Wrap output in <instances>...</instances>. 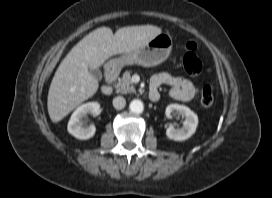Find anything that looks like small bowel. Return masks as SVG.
I'll return each instance as SVG.
<instances>
[{"instance_id": "c3829d8e", "label": "small bowel", "mask_w": 272, "mask_h": 198, "mask_svg": "<svg viewBox=\"0 0 272 198\" xmlns=\"http://www.w3.org/2000/svg\"><path fill=\"white\" fill-rule=\"evenodd\" d=\"M161 84L170 86L169 95L180 101H189L198 92L195 84L186 77H176L168 73H159L151 80V90H157Z\"/></svg>"}]
</instances>
